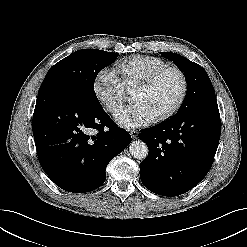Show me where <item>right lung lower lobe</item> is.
<instances>
[{
	"mask_svg": "<svg viewBox=\"0 0 247 247\" xmlns=\"http://www.w3.org/2000/svg\"><path fill=\"white\" fill-rule=\"evenodd\" d=\"M32 129L43 170L57 186L75 193L100 187L108 163L131 142L101 105L70 88L38 93Z\"/></svg>",
	"mask_w": 247,
	"mask_h": 247,
	"instance_id": "98d812e1",
	"label": "right lung lower lobe"
}]
</instances>
